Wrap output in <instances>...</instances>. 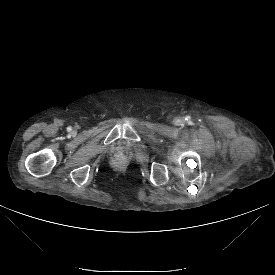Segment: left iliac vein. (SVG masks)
<instances>
[{
	"label": "left iliac vein",
	"instance_id": "left-iliac-vein-1",
	"mask_svg": "<svg viewBox=\"0 0 275 275\" xmlns=\"http://www.w3.org/2000/svg\"><path fill=\"white\" fill-rule=\"evenodd\" d=\"M178 122L180 123V122H182V120H181V119H179V120H178Z\"/></svg>",
	"mask_w": 275,
	"mask_h": 275
}]
</instances>
